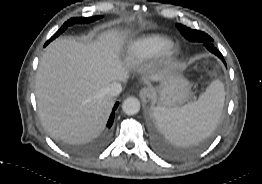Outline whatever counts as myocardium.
<instances>
[{
  "mask_svg": "<svg viewBox=\"0 0 262 184\" xmlns=\"http://www.w3.org/2000/svg\"><path fill=\"white\" fill-rule=\"evenodd\" d=\"M177 47L173 44H170V46L168 47V49L165 51L164 55L166 57H171L173 56L176 52H177Z\"/></svg>",
  "mask_w": 262,
  "mask_h": 184,
  "instance_id": "f54148a6",
  "label": "myocardium"
}]
</instances>
